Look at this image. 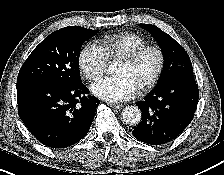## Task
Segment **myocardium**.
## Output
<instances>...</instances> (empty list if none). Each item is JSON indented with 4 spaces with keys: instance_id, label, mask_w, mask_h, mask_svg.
Segmentation results:
<instances>
[{
    "instance_id": "f54148a6",
    "label": "myocardium",
    "mask_w": 224,
    "mask_h": 175,
    "mask_svg": "<svg viewBox=\"0 0 224 175\" xmlns=\"http://www.w3.org/2000/svg\"><path fill=\"white\" fill-rule=\"evenodd\" d=\"M148 52H154L157 55L158 62L152 77L146 83L137 88L140 92H145L152 89L159 81L165 67L166 59L164 51L156 45H145L120 60V62L128 66H133Z\"/></svg>"
}]
</instances>
